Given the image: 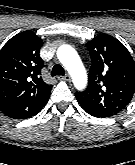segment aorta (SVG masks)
<instances>
[{"instance_id": "aorta-1", "label": "aorta", "mask_w": 135, "mask_h": 165, "mask_svg": "<svg viewBox=\"0 0 135 165\" xmlns=\"http://www.w3.org/2000/svg\"><path fill=\"white\" fill-rule=\"evenodd\" d=\"M57 57L72 77L74 86L82 90L87 85V75L76 50L70 45H62L57 50Z\"/></svg>"}]
</instances>
